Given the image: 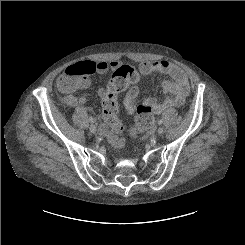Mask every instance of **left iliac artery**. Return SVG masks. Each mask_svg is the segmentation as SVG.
<instances>
[{"instance_id": "1", "label": "left iliac artery", "mask_w": 245, "mask_h": 245, "mask_svg": "<svg viewBox=\"0 0 245 245\" xmlns=\"http://www.w3.org/2000/svg\"><path fill=\"white\" fill-rule=\"evenodd\" d=\"M163 123V120L162 119H159L158 120V124L161 125Z\"/></svg>"}]
</instances>
